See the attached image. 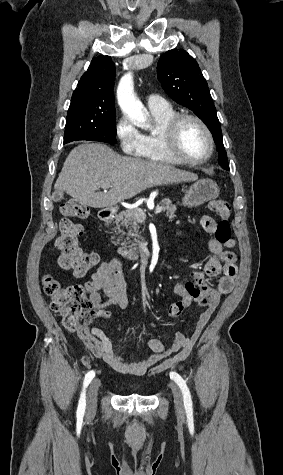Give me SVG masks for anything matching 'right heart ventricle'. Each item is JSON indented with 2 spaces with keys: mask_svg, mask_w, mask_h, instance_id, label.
<instances>
[{
  "mask_svg": "<svg viewBox=\"0 0 283 475\" xmlns=\"http://www.w3.org/2000/svg\"><path fill=\"white\" fill-rule=\"evenodd\" d=\"M150 112L157 123V128L142 134L145 142L142 157L147 161L164 162L157 149L159 137L163 128L177 113L170 105L167 108L150 110Z\"/></svg>",
  "mask_w": 283,
  "mask_h": 475,
  "instance_id": "obj_1",
  "label": "right heart ventricle"
}]
</instances>
